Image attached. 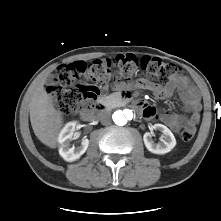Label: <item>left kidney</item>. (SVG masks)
<instances>
[{
	"label": "left kidney",
	"instance_id": "5707ae66",
	"mask_svg": "<svg viewBox=\"0 0 221 221\" xmlns=\"http://www.w3.org/2000/svg\"><path fill=\"white\" fill-rule=\"evenodd\" d=\"M152 129L159 130L163 133V138L160 143H154L152 136L146 132L143 136L146 148L154 154H165L170 152L176 145V139L173 133L163 124H154Z\"/></svg>",
	"mask_w": 221,
	"mask_h": 221
}]
</instances>
